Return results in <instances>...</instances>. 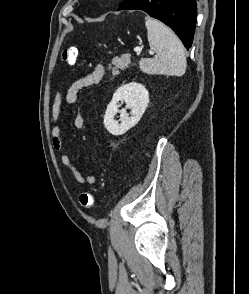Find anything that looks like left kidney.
<instances>
[{
  "instance_id": "obj_1",
  "label": "left kidney",
  "mask_w": 249,
  "mask_h": 294,
  "mask_svg": "<svg viewBox=\"0 0 249 294\" xmlns=\"http://www.w3.org/2000/svg\"><path fill=\"white\" fill-rule=\"evenodd\" d=\"M119 101H124V109H118ZM149 103V92L141 84L131 82L119 87L113 95V98L107 106L104 116V126L112 135H122L130 128L135 126L144 114ZM126 109H131V116ZM117 113H120L119 123L115 120Z\"/></svg>"
}]
</instances>
